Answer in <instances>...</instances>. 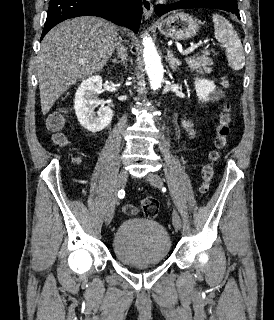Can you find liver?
I'll return each instance as SVG.
<instances>
[{
	"instance_id": "6515ba94",
	"label": "liver",
	"mask_w": 274,
	"mask_h": 320,
	"mask_svg": "<svg viewBox=\"0 0 274 320\" xmlns=\"http://www.w3.org/2000/svg\"><path fill=\"white\" fill-rule=\"evenodd\" d=\"M116 36L114 24L95 16L66 20L46 34L36 60L43 116L70 86L104 70Z\"/></svg>"
}]
</instances>
